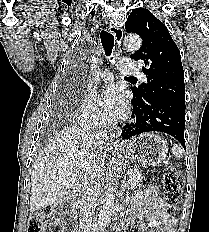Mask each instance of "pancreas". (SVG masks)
<instances>
[{
	"label": "pancreas",
	"instance_id": "pancreas-1",
	"mask_svg": "<svg viewBox=\"0 0 209 232\" xmlns=\"http://www.w3.org/2000/svg\"><path fill=\"white\" fill-rule=\"evenodd\" d=\"M128 172L131 174L128 176L127 185L129 189H136L143 179L141 170L138 167H131Z\"/></svg>",
	"mask_w": 209,
	"mask_h": 232
}]
</instances>
